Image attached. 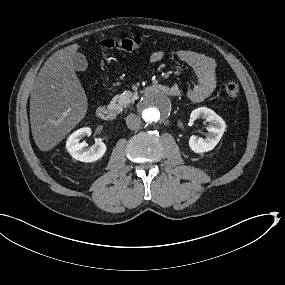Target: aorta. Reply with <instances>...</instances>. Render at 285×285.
I'll return each instance as SVG.
<instances>
[{"label":"aorta","instance_id":"1","mask_svg":"<svg viewBox=\"0 0 285 285\" xmlns=\"http://www.w3.org/2000/svg\"><path fill=\"white\" fill-rule=\"evenodd\" d=\"M140 112L147 121L151 123H160L169 116L171 112V103L164 94L160 92H151L142 99L140 103Z\"/></svg>","mask_w":285,"mask_h":285}]
</instances>
